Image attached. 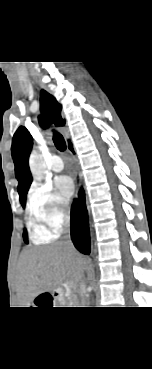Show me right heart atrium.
<instances>
[{
	"label": "right heart atrium",
	"mask_w": 152,
	"mask_h": 369,
	"mask_svg": "<svg viewBox=\"0 0 152 369\" xmlns=\"http://www.w3.org/2000/svg\"><path fill=\"white\" fill-rule=\"evenodd\" d=\"M31 216L49 235H57L70 219L67 203L49 186L35 184L28 194Z\"/></svg>",
	"instance_id": "obj_1"
}]
</instances>
